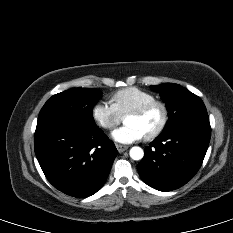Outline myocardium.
<instances>
[{"label": "myocardium", "mask_w": 233, "mask_h": 233, "mask_svg": "<svg viewBox=\"0 0 233 233\" xmlns=\"http://www.w3.org/2000/svg\"><path fill=\"white\" fill-rule=\"evenodd\" d=\"M153 107H159L161 109L162 118H161V121H160L158 127L155 130H153L151 133L145 135L146 140H153V139L157 138L165 130L167 123H168V119H169V111H168V107H167L166 103L161 101V100L154 99L152 101L144 103L143 105L129 111L125 115V117H127V116H141V115L145 114L146 112H148Z\"/></svg>", "instance_id": "myocardium-1"}]
</instances>
